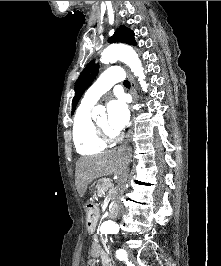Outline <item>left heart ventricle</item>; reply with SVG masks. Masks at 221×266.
Listing matches in <instances>:
<instances>
[{"label":"left heart ventricle","instance_id":"1","mask_svg":"<svg viewBox=\"0 0 221 266\" xmlns=\"http://www.w3.org/2000/svg\"><path fill=\"white\" fill-rule=\"evenodd\" d=\"M97 123L105 128V129H108L110 131H114L111 129V127L109 126V123H108V117L106 115L102 116L101 118L98 119Z\"/></svg>","mask_w":221,"mask_h":266}]
</instances>
